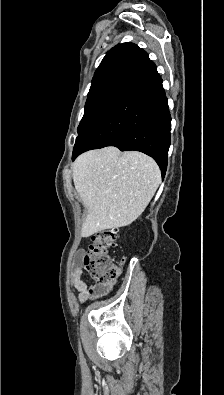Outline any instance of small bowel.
I'll use <instances>...</instances> for the list:
<instances>
[{
	"label": "small bowel",
	"mask_w": 224,
	"mask_h": 395,
	"mask_svg": "<svg viewBox=\"0 0 224 395\" xmlns=\"http://www.w3.org/2000/svg\"><path fill=\"white\" fill-rule=\"evenodd\" d=\"M84 256V250H79L76 256V259L72 266V286L78 291V299L81 302H85L89 299H94L99 296H102L109 291H111L115 283H106V284H93L89 285L84 278V271L81 266V261Z\"/></svg>",
	"instance_id": "small-bowel-1"
}]
</instances>
